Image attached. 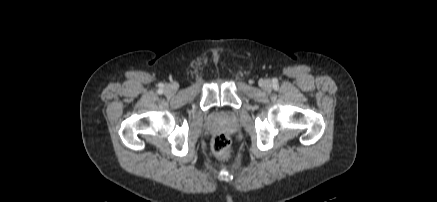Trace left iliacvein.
I'll use <instances>...</instances> for the list:
<instances>
[{
  "label": "left iliac vein",
  "instance_id": "4c4485c4",
  "mask_svg": "<svg viewBox=\"0 0 437 202\" xmlns=\"http://www.w3.org/2000/svg\"><path fill=\"white\" fill-rule=\"evenodd\" d=\"M261 87H262L264 90H269V89L271 88V82H270L269 80H264V81H262V83H261Z\"/></svg>",
  "mask_w": 437,
  "mask_h": 202
}]
</instances>
